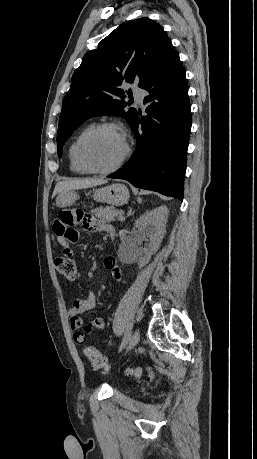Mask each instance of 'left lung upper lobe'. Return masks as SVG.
Masks as SVG:
<instances>
[{"label":"left lung upper lobe","instance_id":"obj_1","mask_svg":"<svg viewBox=\"0 0 257 459\" xmlns=\"http://www.w3.org/2000/svg\"><path fill=\"white\" fill-rule=\"evenodd\" d=\"M173 49L163 28L144 17L118 27L88 52L63 100L57 132L59 156L73 131L91 117L113 114L131 124L137 111L126 109L130 104L124 101L122 82L138 81L144 88Z\"/></svg>","mask_w":257,"mask_h":459}]
</instances>
